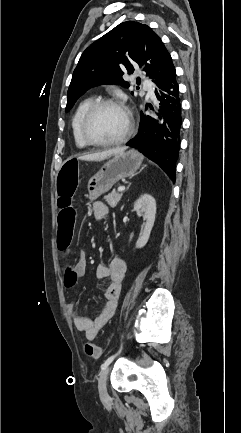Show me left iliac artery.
Listing matches in <instances>:
<instances>
[{"label": "left iliac artery", "mask_w": 241, "mask_h": 433, "mask_svg": "<svg viewBox=\"0 0 241 433\" xmlns=\"http://www.w3.org/2000/svg\"><path fill=\"white\" fill-rule=\"evenodd\" d=\"M121 350H122V344H121V347H120V349H119V351L116 353V354H114V355H112V356H110L102 365H101V369L102 370H104L113 360H114V358L118 355V354H120V352H121Z\"/></svg>", "instance_id": "left-iliac-artery-1"}]
</instances>
